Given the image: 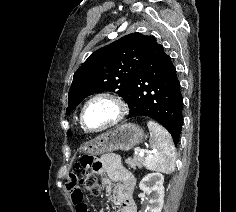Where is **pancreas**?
Instances as JSON below:
<instances>
[{"mask_svg": "<svg viewBox=\"0 0 236 212\" xmlns=\"http://www.w3.org/2000/svg\"><path fill=\"white\" fill-rule=\"evenodd\" d=\"M125 162L133 169L142 168L145 163V157H140L136 154L133 158L126 159Z\"/></svg>", "mask_w": 236, "mask_h": 212, "instance_id": "pancreas-1", "label": "pancreas"}]
</instances>
